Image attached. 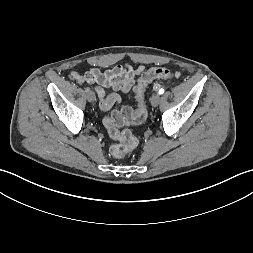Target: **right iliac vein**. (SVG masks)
Instances as JSON below:
<instances>
[{
    "instance_id": "right-iliac-vein-1",
    "label": "right iliac vein",
    "mask_w": 253,
    "mask_h": 253,
    "mask_svg": "<svg viewBox=\"0 0 253 253\" xmlns=\"http://www.w3.org/2000/svg\"><path fill=\"white\" fill-rule=\"evenodd\" d=\"M86 97H87V100H88L89 102H94L95 99H96L95 93H94L93 91L87 92Z\"/></svg>"
}]
</instances>
